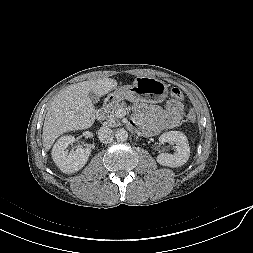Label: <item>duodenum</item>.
I'll return each instance as SVG.
<instances>
[{
	"label": "duodenum",
	"instance_id": "410a0bca",
	"mask_svg": "<svg viewBox=\"0 0 253 253\" xmlns=\"http://www.w3.org/2000/svg\"><path fill=\"white\" fill-rule=\"evenodd\" d=\"M115 100H116V97H115L114 95L109 96V97L105 100L103 107H102V108H99V109L97 110V116L101 117L102 114H103L104 109H105L106 107H108L109 105H111Z\"/></svg>",
	"mask_w": 253,
	"mask_h": 253
}]
</instances>
